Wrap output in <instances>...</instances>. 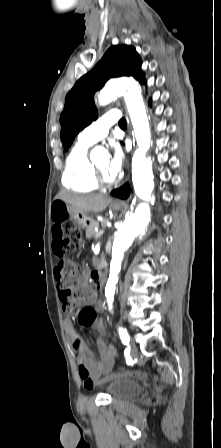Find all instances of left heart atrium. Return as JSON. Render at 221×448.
Instances as JSON below:
<instances>
[{
  "label": "left heart atrium",
  "instance_id": "39dd6f15",
  "mask_svg": "<svg viewBox=\"0 0 221 448\" xmlns=\"http://www.w3.org/2000/svg\"><path fill=\"white\" fill-rule=\"evenodd\" d=\"M124 155L117 146L113 148L112 156L107 165V173L113 179L119 175L123 168Z\"/></svg>",
  "mask_w": 221,
  "mask_h": 448
}]
</instances>
